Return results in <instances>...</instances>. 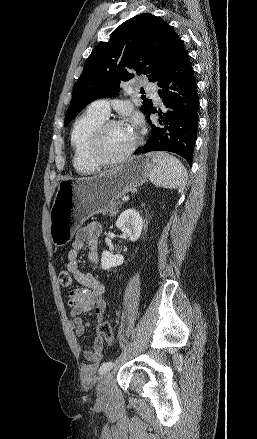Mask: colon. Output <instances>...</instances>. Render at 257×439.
<instances>
[{
    "instance_id": "1",
    "label": "colon",
    "mask_w": 257,
    "mask_h": 439,
    "mask_svg": "<svg viewBox=\"0 0 257 439\" xmlns=\"http://www.w3.org/2000/svg\"><path fill=\"white\" fill-rule=\"evenodd\" d=\"M59 282L63 287H69L72 284V276L66 270L59 273ZM97 334L104 340L112 342L113 332L110 324L107 321H101L97 326Z\"/></svg>"
}]
</instances>
